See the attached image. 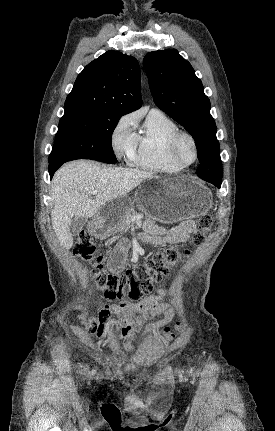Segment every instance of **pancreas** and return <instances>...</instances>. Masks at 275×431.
<instances>
[{
	"label": "pancreas",
	"instance_id": "pancreas-1",
	"mask_svg": "<svg viewBox=\"0 0 275 431\" xmlns=\"http://www.w3.org/2000/svg\"><path fill=\"white\" fill-rule=\"evenodd\" d=\"M131 213H134V208H130L128 211H126L123 214L122 219L120 221V224L118 225V227L116 229L117 231H124L130 226V224L132 222V214Z\"/></svg>",
	"mask_w": 275,
	"mask_h": 431
}]
</instances>
